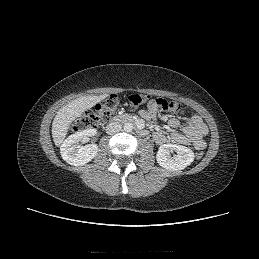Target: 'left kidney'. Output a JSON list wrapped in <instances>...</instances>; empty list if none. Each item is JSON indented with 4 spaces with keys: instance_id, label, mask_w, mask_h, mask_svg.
Returning a JSON list of instances; mask_svg holds the SVG:
<instances>
[{
    "instance_id": "obj_1",
    "label": "left kidney",
    "mask_w": 259,
    "mask_h": 259,
    "mask_svg": "<svg viewBox=\"0 0 259 259\" xmlns=\"http://www.w3.org/2000/svg\"><path fill=\"white\" fill-rule=\"evenodd\" d=\"M175 151L176 154L170 155V152ZM194 152L182 145L163 144L159 147L156 154L158 164L169 171H178L186 168L194 161Z\"/></svg>"
}]
</instances>
